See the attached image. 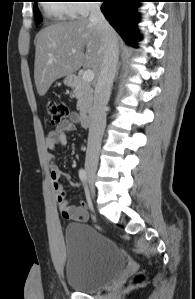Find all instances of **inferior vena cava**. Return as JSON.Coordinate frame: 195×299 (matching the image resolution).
<instances>
[{
	"label": "inferior vena cava",
	"mask_w": 195,
	"mask_h": 299,
	"mask_svg": "<svg viewBox=\"0 0 195 299\" xmlns=\"http://www.w3.org/2000/svg\"><path fill=\"white\" fill-rule=\"evenodd\" d=\"M89 22L102 30L103 62L94 92V103L90 113V126L85 167L96 168L99 161L101 141L106 126V106L111 94L118 62V39L100 10V4L89 5Z\"/></svg>",
	"instance_id": "obj_1"
}]
</instances>
